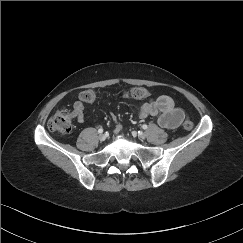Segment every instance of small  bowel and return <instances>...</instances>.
<instances>
[{"instance_id": "1", "label": "small bowel", "mask_w": 243, "mask_h": 243, "mask_svg": "<svg viewBox=\"0 0 243 243\" xmlns=\"http://www.w3.org/2000/svg\"><path fill=\"white\" fill-rule=\"evenodd\" d=\"M73 115L79 123L85 120L83 112V102L81 99L73 103ZM158 116V125L162 128L172 129L178 127L183 118L184 111L175 106L174 100L168 95H161L157 98H149L147 102L140 105L137 116L145 119L149 116ZM122 130V124L116 122L114 132L117 134Z\"/></svg>"}]
</instances>
